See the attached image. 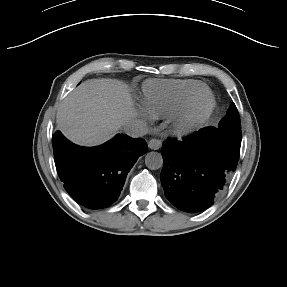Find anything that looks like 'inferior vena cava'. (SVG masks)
<instances>
[{"label":"inferior vena cava","instance_id":"602c4592","mask_svg":"<svg viewBox=\"0 0 287 287\" xmlns=\"http://www.w3.org/2000/svg\"><path fill=\"white\" fill-rule=\"evenodd\" d=\"M123 130L125 134L132 138L142 137L148 133L146 122L140 119H132L128 121L123 126Z\"/></svg>","mask_w":287,"mask_h":287}]
</instances>
